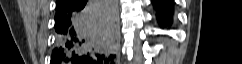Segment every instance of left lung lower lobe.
Instances as JSON below:
<instances>
[{"label":"left lung lower lobe","mask_w":242,"mask_h":64,"mask_svg":"<svg viewBox=\"0 0 242 64\" xmlns=\"http://www.w3.org/2000/svg\"><path fill=\"white\" fill-rule=\"evenodd\" d=\"M156 10V18L162 27L170 26L173 23L174 3L173 0H152Z\"/></svg>","instance_id":"obj_1"}]
</instances>
